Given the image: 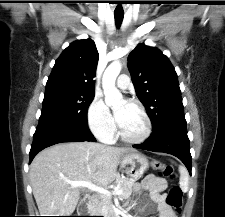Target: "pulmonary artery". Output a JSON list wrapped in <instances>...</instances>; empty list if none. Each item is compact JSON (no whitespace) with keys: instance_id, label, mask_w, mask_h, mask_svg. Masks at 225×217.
I'll return each instance as SVG.
<instances>
[{"instance_id":"obj_1","label":"pulmonary artery","mask_w":225,"mask_h":217,"mask_svg":"<svg viewBox=\"0 0 225 217\" xmlns=\"http://www.w3.org/2000/svg\"><path fill=\"white\" fill-rule=\"evenodd\" d=\"M116 85L120 89H127L130 85V79L127 75L121 74L116 81Z\"/></svg>"}]
</instances>
